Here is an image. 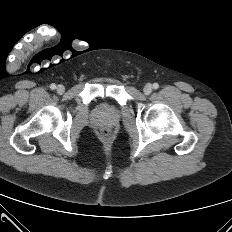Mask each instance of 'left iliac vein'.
<instances>
[{"instance_id":"left-iliac-vein-1","label":"left iliac vein","mask_w":232,"mask_h":232,"mask_svg":"<svg viewBox=\"0 0 232 232\" xmlns=\"http://www.w3.org/2000/svg\"><path fill=\"white\" fill-rule=\"evenodd\" d=\"M153 90V87L151 84H146L143 88L144 94L149 95Z\"/></svg>"}]
</instances>
